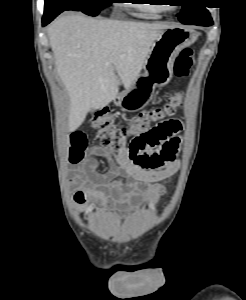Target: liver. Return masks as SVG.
Returning a JSON list of instances; mask_svg holds the SVG:
<instances>
[{
    "label": "liver",
    "mask_w": 246,
    "mask_h": 300,
    "mask_svg": "<svg viewBox=\"0 0 246 300\" xmlns=\"http://www.w3.org/2000/svg\"><path fill=\"white\" fill-rule=\"evenodd\" d=\"M169 28L161 23L97 20L81 14L63 15L49 26L56 69L70 98V132L80 127L90 110L113 101L119 80L125 89L134 83L151 46Z\"/></svg>",
    "instance_id": "obj_1"
}]
</instances>
